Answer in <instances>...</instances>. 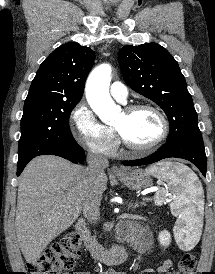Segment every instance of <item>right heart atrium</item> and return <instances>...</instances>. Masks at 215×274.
<instances>
[{"label":"right heart atrium","mask_w":215,"mask_h":274,"mask_svg":"<svg viewBox=\"0 0 215 274\" xmlns=\"http://www.w3.org/2000/svg\"><path fill=\"white\" fill-rule=\"evenodd\" d=\"M70 129L74 139L92 152L110 155L116 148L113 130L97 119L85 101H80L73 108Z\"/></svg>","instance_id":"1"}]
</instances>
